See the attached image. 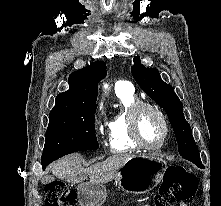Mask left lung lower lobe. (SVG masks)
Masks as SVG:
<instances>
[{
    "mask_svg": "<svg viewBox=\"0 0 221 206\" xmlns=\"http://www.w3.org/2000/svg\"><path fill=\"white\" fill-rule=\"evenodd\" d=\"M197 166L202 167V163H195Z\"/></svg>",
    "mask_w": 221,
    "mask_h": 206,
    "instance_id": "1",
    "label": "left lung lower lobe"
}]
</instances>
